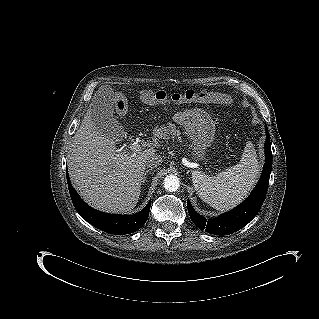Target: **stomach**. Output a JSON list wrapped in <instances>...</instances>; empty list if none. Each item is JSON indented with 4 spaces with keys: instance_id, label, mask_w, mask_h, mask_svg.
<instances>
[{
    "instance_id": "1",
    "label": "stomach",
    "mask_w": 319,
    "mask_h": 319,
    "mask_svg": "<svg viewBox=\"0 0 319 319\" xmlns=\"http://www.w3.org/2000/svg\"><path fill=\"white\" fill-rule=\"evenodd\" d=\"M182 124L191 141L192 158L196 161L205 160L206 151L214 141V121L206 112L196 110L187 114Z\"/></svg>"
}]
</instances>
